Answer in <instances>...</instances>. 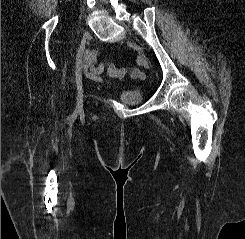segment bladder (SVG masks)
<instances>
[{"mask_svg":"<svg viewBox=\"0 0 245 239\" xmlns=\"http://www.w3.org/2000/svg\"><path fill=\"white\" fill-rule=\"evenodd\" d=\"M144 98L145 93L143 92L142 88L123 89L119 93V99L129 105L142 103Z\"/></svg>","mask_w":245,"mask_h":239,"instance_id":"bladder-1","label":"bladder"}]
</instances>
